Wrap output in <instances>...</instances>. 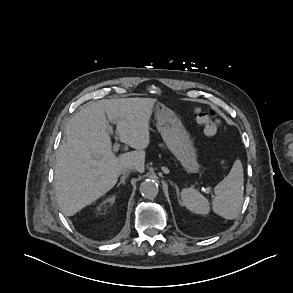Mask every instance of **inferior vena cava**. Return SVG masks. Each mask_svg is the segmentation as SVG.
<instances>
[{"mask_svg": "<svg viewBox=\"0 0 293 293\" xmlns=\"http://www.w3.org/2000/svg\"><path fill=\"white\" fill-rule=\"evenodd\" d=\"M132 170H135V167L133 165H126L123 166L120 170V173L123 175L129 174Z\"/></svg>", "mask_w": 293, "mask_h": 293, "instance_id": "1", "label": "inferior vena cava"}]
</instances>
